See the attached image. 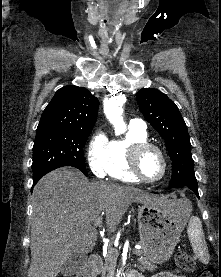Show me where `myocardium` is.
<instances>
[{
    "mask_svg": "<svg viewBox=\"0 0 221 277\" xmlns=\"http://www.w3.org/2000/svg\"><path fill=\"white\" fill-rule=\"evenodd\" d=\"M149 150H154L159 154L163 165L162 173L156 179L146 178L140 169L141 158ZM128 167L130 172L139 181L143 183L154 184V183H158L165 177L168 169V162L164 151L158 145L151 143L149 141H146V142L135 143L130 147L129 153H128Z\"/></svg>",
    "mask_w": 221,
    "mask_h": 277,
    "instance_id": "myocardium-1",
    "label": "myocardium"
}]
</instances>
